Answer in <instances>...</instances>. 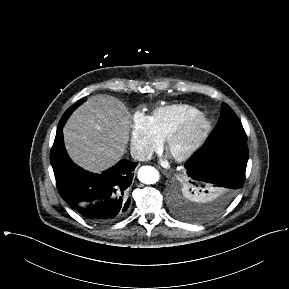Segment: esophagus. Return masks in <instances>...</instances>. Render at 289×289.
<instances>
[{
    "label": "esophagus",
    "instance_id": "34e87169",
    "mask_svg": "<svg viewBox=\"0 0 289 289\" xmlns=\"http://www.w3.org/2000/svg\"><path fill=\"white\" fill-rule=\"evenodd\" d=\"M161 171H162V173H163L164 175H166V176L170 175V172L167 171V170H161Z\"/></svg>",
    "mask_w": 289,
    "mask_h": 289
}]
</instances>
